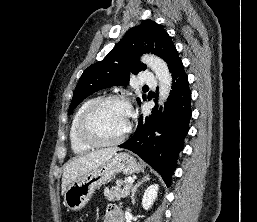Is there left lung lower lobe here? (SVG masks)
Masks as SVG:
<instances>
[{
	"instance_id": "1",
	"label": "left lung lower lobe",
	"mask_w": 257,
	"mask_h": 222,
	"mask_svg": "<svg viewBox=\"0 0 257 222\" xmlns=\"http://www.w3.org/2000/svg\"><path fill=\"white\" fill-rule=\"evenodd\" d=\"M169 71L173 83L164 109L155 107L152 115L144 120L141 116L134 135L118 146L140 156L162 176L167 186L183 148L192 113L191 92L182 61H175Z\"/></svg>"
}]
</instances>
